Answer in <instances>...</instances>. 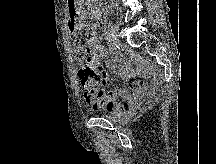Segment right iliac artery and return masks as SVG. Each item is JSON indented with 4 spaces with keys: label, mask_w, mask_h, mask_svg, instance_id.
<instances>
[{
    "label": "right iliac artery",
    "mask_w": 216,
    "mask_h": 164,
    "mask_svg": "<svg viewBox=\"0 0 216 164\" xmlns=\"http://www.w3.org/2000/svg\"><path fill=\"white\" fill-rule=\"evenodd\" d=\"M104 39L107 41V43L109 44V46H111L112 44H114V40L111 38L110 34L108 32H106L105 34H103Z\"/></svg>",
    "instance_id": "1"
}]
</instances>
